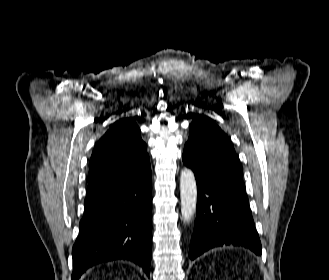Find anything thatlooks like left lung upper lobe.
Listing matches in <instances>:
<instances>
[{"mask_svg": "<svg viewBox=\"0 0 329 280\" xmlns=\"http://www.w3.org/2000/svg\"><path fill=\"white\" fill-rule=\"evenodd\" d=\"M189 127L191 134L184 147L183 162L204 183L223 184L225 170H241L231 141L211 119L198 115Z\"/></svg>", "mask_w": 329, "mask_h": 280, "instance_id": "left-lung-upper-lobe-1", "label": "left lung upper lobe"}]
</instances>
